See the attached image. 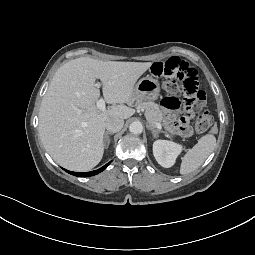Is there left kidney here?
Masks as SVG:
<instances>
[{
  "mask_svg": "<svg viewBox=\"0 0 255 255\" xmlns=\"http://www.w3.org/2000/svg\"><path fill=\"white\" fill-rule=\"evenodd\" d=\"M182 149V145L168 140H156L153 143L154 157L164 168H170L175 164Z\"/></svg>",
  "mask_w": 255,
  "mask_h": 255,
  "instance_id": "5707ae66",
  "label": "left kidney"
}]
</instances>
